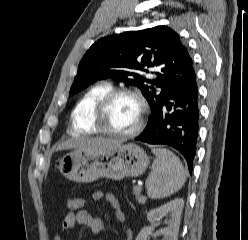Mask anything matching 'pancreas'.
Here are the masks:
<instances>
[{
    "mask_svg": "<svg viewBox=\"0 0 248 240\" xmlns=\"http://www.w3.org/2000/svg\"><path fill=\"white\" fill-rule=\"evenodd\" d=\"M133 192L136 196V199L139 203H144L145 200H146V197L144 196H141L140 193H141V189L140 188H137V187H133Z\"/></svg>",
    "mask_w": 248,
    "mask_h": 240,
    "instance_id": "cf45deb5",
    "label": "pancreas"
}]
</instances>
